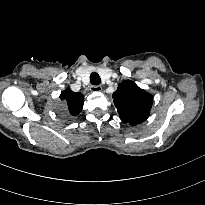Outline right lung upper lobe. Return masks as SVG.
Segmentation results:
<instances>
[{"mask_svg": "<svg viewBox=\"0 0 205 205\" xmlns=\"http://www.w3.org/2000/svg\"><path fill=\"white\" fill-rule=\"evenodd\" d=\"M60 98L64 103L66 111H69L71 115H78L81 112L84 104V97L80 92H73L71 89L67 88L62 91Z\"/></svg>", "mask_w": 205, "mask_h": 205, "instance_id": "right-lung-upper-lobe-1", "label": "right lung upper lobe"}]
</instances>
